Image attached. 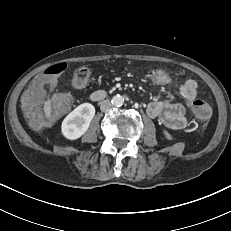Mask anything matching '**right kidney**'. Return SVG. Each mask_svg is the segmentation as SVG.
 I'll return each instance as SVG.
<instances>
[{
  "instance_id": "ca27d5eb",
  "label": "right kidney",
  "mask_w": 231,
  "mask_h": 231,
  "mask_svg": "<svg viewBox=\"0 0 231 231\" xmlns=\"http://www.w3.org/2000/svg\"><path fill=\"white\" fill-rule=\"evenodd\" d=\"M95 115V107L90 103H83L70 112L62 122L61 131L69 140L80 138L89 128Z\"/></svg>"
}]
</instances>
